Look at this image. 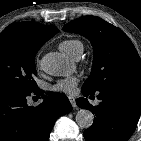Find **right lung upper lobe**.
I'll return each instance as SVG.
<instances>
[{"label":"right lung upper lobe","mask_w":141,"mask_h":141,"mask_svg":"<svg viewBox=\"0 0 141 141\" xmlns=\"http://www.w3.org/2000/svg\"><path fill=\"white\" fill-rule=\"evenodd\" d=\"M58 32L59 30L54 26H46L33 21H27L13 23L9 25L2 33L26 34L45 43Z\"/></svg>","instance_id":"cb5924a9"}]
</instances>
